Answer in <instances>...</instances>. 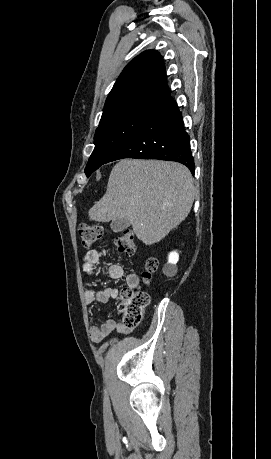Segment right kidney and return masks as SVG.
Wrapping results in <instances>:
<instances>
[{"label": "right kidney", "instance_id": "1", "mask_svg": "<svg viewBox=\"0 0 271 459\" xmlns=\"http://www.w3.org/2000/svg\"><path fill=\"white\" fill-rule=\"evenodd\" d=\"M178 259L179 253H177V251H170L168 255V261L163 267V273H165V275H169V277H171V275H175V273H177L176 263Z\"/></svg>", "mask_w": 271, "mask_h": 459}]
</instances>
